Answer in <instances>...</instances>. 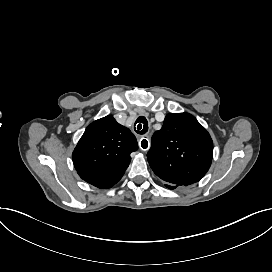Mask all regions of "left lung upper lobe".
Instances as JSON below:
<instances>
[{"label":"left lung upper lobe","mask_w":272,"mask_h":272,"mask_svg":"<svg viewBox=\"0 0 272 272\" xmlns=\"http://www.w3.org/2000/svg\"><path fill=\"white\" fill-rule=\"evenodd\" d=\"M213 142L206 129L188 113H170L151 139L148 162L166 184L198 182L210 168Z\"/></svg>","instance_id":"1"}]
</instances>
